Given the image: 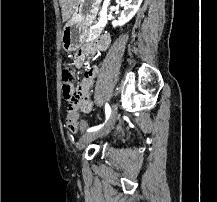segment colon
Wrapping results in <instances>:
<instances>
[{
  "label": "colon",
  "mask_w": 217,
  "mask_h": 202,
  "mask_svg": "<svg viewBox=\"0 0 217 202\" xmlns=\"http://www.w3.org/2000/svg\"><path fill=\"white\" fill-rule=\"evenodd\" d=\"M78 77L76 76L75 72L64 69L62 73V90L65 100L67 102L68 108L71 111H76L80 109V102H88V96H78L83 95V90H76L77 87H74V82H78ZM74 115L68 116L65 119L66 126L72 131L74 127ZM80 130L84 132L86 130L87 124L84 119L80 120Z\"/></svg>",
  "instance_id": "1"
}]
</instances>
